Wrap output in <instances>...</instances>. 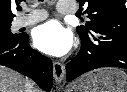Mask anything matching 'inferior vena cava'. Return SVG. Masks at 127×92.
<instances>
[{
  "label": "inferior vena cava",
  "instance_id": "1",
  "mask_svg": "<svg viewBox=\"0 0 127 92\" xmlns=\"http://www.w3.org/2000/svg\"><path fill=\"white\" fill-rule=\"evenodd\" d=\"M33 87H34V83L32 81H29L27 85V92H32Z\"/></svg>",
  "mask_w": 127,
  "mask_h": 92
}]
</instances>
